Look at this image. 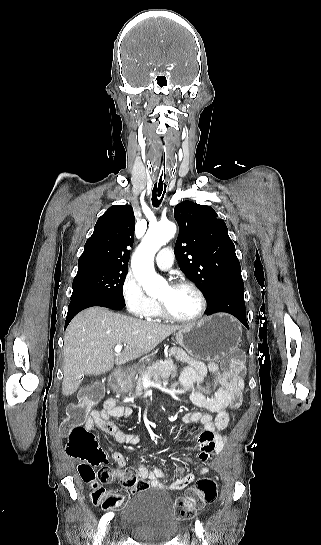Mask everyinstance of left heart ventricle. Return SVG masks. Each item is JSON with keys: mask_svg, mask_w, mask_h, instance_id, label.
Returning <instances> with one entry per match:
<instances>
[{"mask_svg": "<svg viewBox=\"0 0 321 545\" xmlns=\"http://www.w3.org/2000/svg\"><path fill=\"white\" fill-rule=\"evenodd\" d=\"M159 304L180 317L194 316L200 306L199 298L194 291L187 288L173 289L169 285L164 288Z\"/></svg>", "mask_w": 321, "mask_h": 545, "instance_id": "left-heart-ventricle-1", "label": "left heart ventricle"}]
</instances>
